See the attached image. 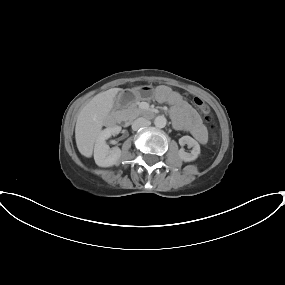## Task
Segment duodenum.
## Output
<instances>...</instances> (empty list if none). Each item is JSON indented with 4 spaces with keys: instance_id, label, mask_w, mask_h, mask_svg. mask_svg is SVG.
Returning <instances> with one entry per match:
<instances>
[{
    "instance_id": "410a0bca",
    "label": "duodenum",
    "mask_w": 285,
    "mask_h": 285,
    "mask_svg": "<svg viewBox=\"0 0 285 285\" xmlns=\"http://www.w3.org/2000/svg\"><path fill=\"white\" fill-rule=\"evenodd\" d=\"M141 115L146 117V118H151L154 117L157 114V111L155 109L152 108H146V109H142L140 111ZM119 123H123L122 119H118Z\"/></svg>"
}]
</instances>
